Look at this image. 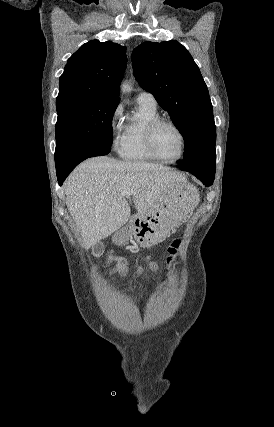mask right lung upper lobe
Returning a JSON list of instances; mask_svg holds the SVG:
<instances>
[{"label": "right lung upper lobe", "mask_w": 274, "mask_h": 427, "mask_svg": "<svg viewBox=\"0 0 274 427\" xmlns=\"http://www.w3.org/2000/svg\"><path fill=\"white\" fill-rule=\"evenodd\" d=\"M126 48L111 41L92 40L67 61L59 80L56 107L85 99H120Z\"/></svg>", "instance_id": "1"}]
</instances>
